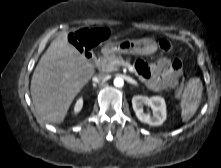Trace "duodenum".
Here are the masks:
<instances>
[{"mask_svg": "<svg viewBox=\"0 0 221 168\" xmlns=\"http://www.w3.org/2000/svg\"><path fill=\"white\" fill-rule=\"evenodd\" d=\"M85 58L90 66H96L98 63V57L93 53H86Z\"/></svg>", "mask_w": 221, "mask_h": 168, "instance_id": "1", "label": "duodenum"}]
</instances>
